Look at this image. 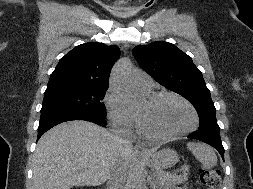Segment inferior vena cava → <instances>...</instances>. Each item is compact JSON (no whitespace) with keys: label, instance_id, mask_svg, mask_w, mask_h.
Returning <instances> with one entry per match:
<instances>
[{"label":"inferior vena cava","instance_id":"obj_1","mask_svg":"<svg viewBox=\"0 0 253 189\" xmlns=\"http://www.w3.org/2000/svg\"><path fill=\"white\" fill-rule=\"evenodd\" d=\"M113 139L118 148L132 151V142L120 130L113 131ZM119 157V156H118ZM128 167L123 163L114 164L108 174L107 189H124Z\"/></svg>","mask_w":253,"mask_h":189}]
</instances>
